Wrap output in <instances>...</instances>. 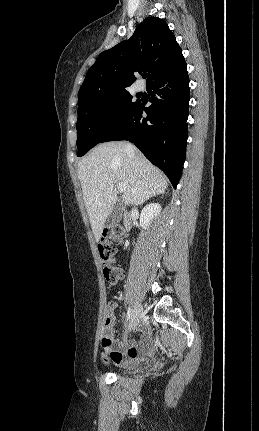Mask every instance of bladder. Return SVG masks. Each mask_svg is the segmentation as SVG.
Here are the masks:
<instances>
[{
    "label": "bladder",
    "mask_w": 259,
    "mask_h": 431,
    "mask_svg": "<svg viewBox=\"0 0 259 431\" xmlns=\"http://www.w3.org/2000/svg\"><path fill=\"white\" fill-rule=\"evenodd\" d=\"M135 370H136V368H128V369L124 370L123 372L124 373H131V372H134Z\"/></svg>",
    "instance_id": "obj_1"
}]
</instances>
